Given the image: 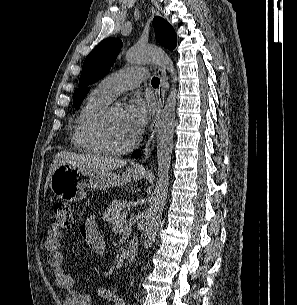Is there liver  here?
Here are the masks:
<instances>
[{"label": "liver", "instance_id": "1", "mask_svg": "<svg viewBox=\"0 0 297 305\" xmlns=\"http://www.w3.org/2000/svg\"><path fill=\"white\" fill-rule=\"evenodd\" d=\"M126 163L127 161L123 159L60 152L54 157L53 162L51 164L46 180L45 192L47 189V185L50 182L51 175L60 164H70L74 167L113 171L118 168H122L126 165Z\"/></svg>", "mask_w": 297, "mask_h": 305}]
</instances>
